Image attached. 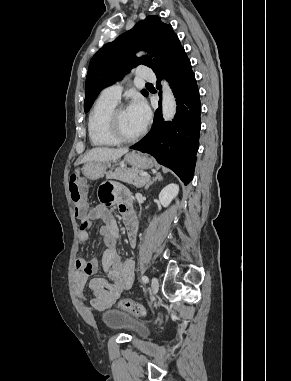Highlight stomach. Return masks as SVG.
I'll return each mask as SVG.
<instances>
[{
	"label": "stomach",
	"mask_w": 291,
	"mask_h": 381,
	"mask_svg": "<svg viewBox=\"0 0 291 381\" xmlns=\"http://www.w3.org/2000/svg\"><path fill=\"white\" fill-rule=\"evenodd\" d=\"M124 161L131 165L134 169L144 170L153 166V161L147 155L130 152L125 155ZM107 162H88L82 168V173L85 177L91 180H97L106 172Z\"/></svg>",
	"instance_id": "stomach-1"
}]
</instances>
